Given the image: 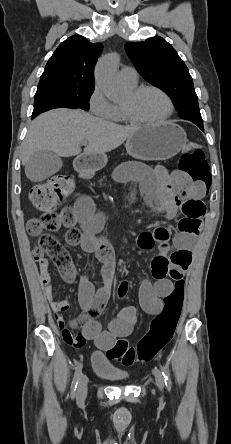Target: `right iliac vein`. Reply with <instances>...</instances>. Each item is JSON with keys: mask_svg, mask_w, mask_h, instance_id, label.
<instances>
[{"mask_svg": "<svg viewBox=\"0 0 231 444\" xmlns=\"http://www.w3.org/2000/svg\"><path fill=\"white\" fill-rule=\"evenodd\" d=\"M87 383L88 378L83 374L79 379L78 389L76 393V398L78 402H83L87 395Z\"/></svg>", "mask_w": 231, "mask_h": 444, "instance_id": "1", "label": "right iliac vein"}]
</instances>
